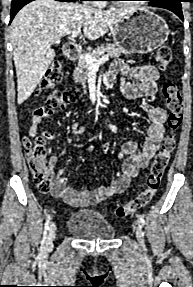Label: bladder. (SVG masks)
I'll return each instance as SVG.
<instances>
[{
	"label": "bladder",
	"mask_w": 193,
	"mask_h": 287,
	"mask_svg": "<svg viewBox=\"0 0 193 287\" xmlns=\"http://www.w3.org/2000/svg\"><path fill=\"white\" fill-rule=\"evenodd\" d=\"M67 229L83 240H110L115 236V230L106 218L92 210L73 212L68 219Z\"/></svg>",
	"instance_id": "bladder-1"
}]
</instances>
